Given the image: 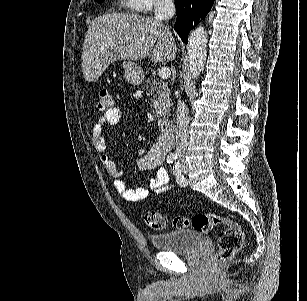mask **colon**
<instances>
[{
  "mask_svg": "<svg viewBox=\"0 0 307 301\" xmlns=\"http://www.w3.org/2000/svg\"><path fill=\"white\" fill-rule=\"evenodd\" d=\"M112 107V100L106 90L98 94L96 108L100 112H106ZM144 221L154 230H163L166 227L165 218L154 210L144 212ZM176 228L192 227L197 232L206 233L217 226L223 225L225 229L218 237L219 251L216 256V263L221 264L234 256L244 245L245 234L242 227L233 220L222 217L212 212L195 214L191 218L176 217L173 221Z\"/></svg>",
  "mask_w": 307,
  "mask_h": 301,
  "instance_id": "1",
  "label": "colon"
}]
</instances>
